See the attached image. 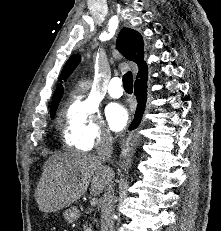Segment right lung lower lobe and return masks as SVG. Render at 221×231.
Masks as SVG:
<instances>
[{
    "label": "right lung lower lobe",
    "instance_id": "98d812e1",
    "mask_svg": "<svg viewBox=\"0 0 221 231\" xmlns=\"http://www.w3.org/2000/svg\"><path fill=\"white\" fill-rule=\"evenodd\" d=\"M146 82H147V80L135 83L134 91H135L138 105H137V109H136V113H135V118L132 122L130 129L136 128L139 125L140 120L142 118V114H143L145 104H146V99H147V84H146Z\"/></svg>",
    "mask_w": 221,
    "mask_h": 231
}]
</instances>
